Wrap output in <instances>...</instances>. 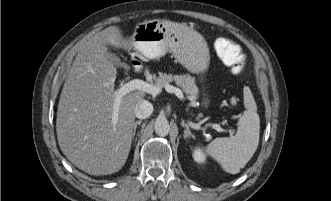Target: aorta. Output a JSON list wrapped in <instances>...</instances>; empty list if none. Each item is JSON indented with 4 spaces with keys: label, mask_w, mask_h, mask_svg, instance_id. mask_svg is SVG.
Wrapping results in <instances>:
<instances>
[{
    "label": "aorta",
    "mask_w": 331,
    "mask_h": 201,
    "mask_svg": "<svg viewBox=\"0 0 331 201\" xmlns=\"http://www.w3.org/2000/svg\"><path fill=\"white\" fill-rule=\"evenodd\" d=\"M154 129L157 135L166 136L170 132V125L166 118H157L154 124Z\"/></svg>",
    "instance_id": "aorta-1"
}]
</instances>
